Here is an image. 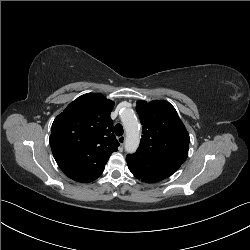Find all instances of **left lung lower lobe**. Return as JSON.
<instances>
[{"label": "left lung lower lobe", "instance_id": "left-lung-lower-lobe-1", "mask_svg": "<svg viewBox=\"0 0 250 250\" xmlns=\"http://www.w3.org/2000/svg\"><path fill=\"white\" fill-rule=\"evenodd\" d=\"M126 161L132 174L144 182H158L174 173L171 170L156 166L148 157L137 153L127 155Z\"/></svg>", "mask_w": 250, "mask_h": 250}]
</instances>
